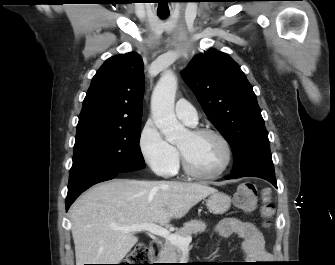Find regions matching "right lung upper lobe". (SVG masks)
<instances>
[{"label":"right lung upper lobe","instance_id":"1","mask_svg":"<svg viewBox=\"0 0 335 265\" xmlns=\"http://www.w3.org/2000/svg\"><path fill=\"white\" fill-rule=\"evenodd\" d=\"M143 93L141 56L130 52L109 58L92 79L77 130L141 121Z\"/></svg>","mask_w":335,"mask_h":265}]
</instances>
